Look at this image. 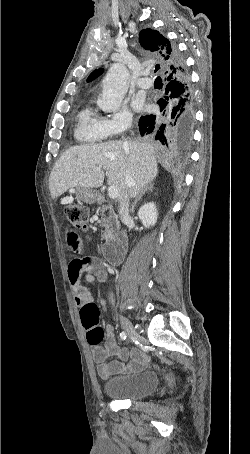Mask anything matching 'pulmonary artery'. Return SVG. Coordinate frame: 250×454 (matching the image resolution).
<instances>
[{"label":"pulmonary artery","instance_id":"pulmonary-artery-1","mask_svg":"<svg viewBox=\"0 0 250 454\" xmlns=\"http://www.w3.org/2000/svg\"><path fill=\"white\" fill-rule=\"evenodd\" d=\"M153 84V81L149 77H142L137 81V86L141 89H147L151 87Z\"/></svg>","mask_w":250,"mask_h":454}]
</instances>
